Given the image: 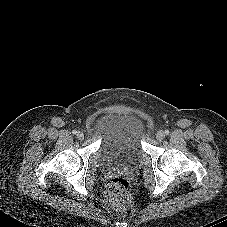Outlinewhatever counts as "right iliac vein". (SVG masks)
Returning a JSON list of instances; mask_svg holds the SVG:
<instances>
[{"label":"right iliac vein","mask_w":227,"mask_h":227,"mask_svg":"<svg viewBox=\"0 0 227 227\" xmlns=\"http://www.w3.org/2000/svg\"><path fill=\"white\" fill-rule=\"evenodd\" d=\"M77 138H78L79 140L84 139V133H83L82 131H78V132H77Z\"/></svg>","instance_id":"63e3f726"}]
</instances>
